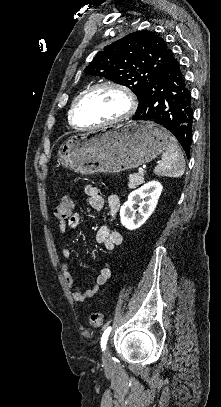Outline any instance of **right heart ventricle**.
Wrapping results in <instances>:
<instances>
[{
    "instance_id": "right-heart-ventricle-1",
    "label": "right heart ventricle",
    "mask_w": 221,
    "mask_h": 407,
    "mask_svg": "<svg viewBox=\"0 0 221 407\" xmlns=\"http://www.w3.org/2000/svg\"><path fill=\"white\" fill-rule=\"evenodd\" d=\"M79 94H80V93H79ZM79 94H77V95L73 98L72 103H71V105H70V107H69V114H70L71 108H72V106H73V103H74V101L76 100V98L78 97ZM68 119H69V122H71V120H70V115H69Z\"/></svg>"
}]
</instances>
